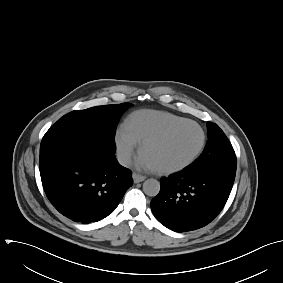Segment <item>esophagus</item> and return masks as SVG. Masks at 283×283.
<instances>
[{"label":"esophagus","mask_w":283,"mask_h":283,"mask_svg":"<svg viewBox=\"0 0 283 283\" xmlns=\"http://www.w3.org/2000/svg\"><path fill=\"white\" fill-rule=\"evenodd\" d=\"M132 176H133L134 183H140L146 179L145 176L138 174V173H133Z\"/></svg>","instance_id":"34e87169"}]
</instances>
